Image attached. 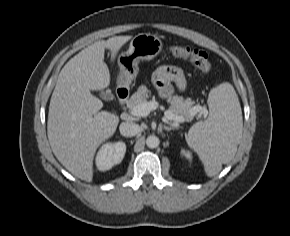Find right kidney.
Wrapping results in <instances>:
<instances>
[{
  "label": "right kidney",
  "instance_id": "right-kidney-1",
  "mask_svg": "<svg viewBox=\"0 0 290 236\" xmlns=\"http://www.w3.org/2000/svg\"><path fill=\"white\" fill-rule=\"evenodd\" d=\"M125 152L126 145L122 141L103 144L96 156L98 170L106 171L119 164L123 160Z\"/></svg>",
  "mask_w": 290,
  "mask_h": 236
}]
</instances>
